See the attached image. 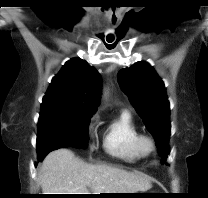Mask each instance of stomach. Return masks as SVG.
I'll use <instances>...</instances> for the list:
<instances>
[{"instance_id": "0dacf381", "label": "stomach", "mask_w": 208, "mask_h": 198, "mask_svg": "<svg viewBox=\"0 0 208 198\" xmlns=\"http://www.w3.org/2000/svg\"><path fill=\"white\" fill-rule=\"evenodd\" d=\"M135 193H141V192H135ZM125 197H137L136 195H130V196H125Z\"/></svg>"}]
</instances>
